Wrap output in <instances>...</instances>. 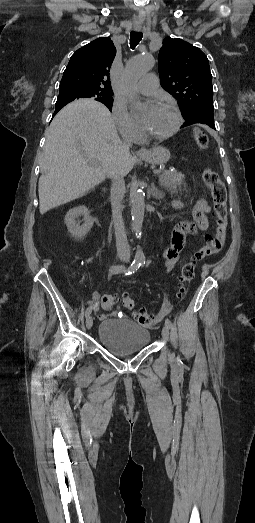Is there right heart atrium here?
<instances>
[{
	"mask_svg": "<svg viewBox=\"0 0 255 523\" xmlns=\"http://www.w3.org/2000/svg\"><path fill=\"white\" fill-rule=\"evenodd\" d=\"M111 116L120 135L125 140H132L138 135V125L125 102L115 100L112 105Z\"/></svg>",
	"mask_w": 255,
	"mask_h": 523,
	"instance_id": "d8ad5b80",
	"label": "right heart atrium"
}]
</instances>
